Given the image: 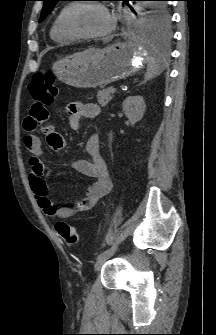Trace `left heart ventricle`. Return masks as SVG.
I'll return each instance as SVG.
<instances>
[{"label":"left heart ventricle","instance_id":"obj_1","mask_svg":"<svg viewBox=\"0 0 216 335\" xmlns=\"http://www.w3.org/2000/svg\"><path fill=\"white\" fill-rule=\"evenodd\" d=\"M110 20L104 11L95 5H83L76 8L70 16L71 27L82 33L105 31Z\"/></svg>","mask_w":216,"mask_h":335}]
</instances>
